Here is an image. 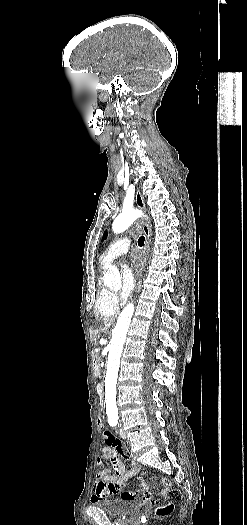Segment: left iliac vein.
Wrapping results in <instances>:
<instances>
[{
	"mask_svg": "<svg viewBox=\"0 0 247 525\" xmlns=\"http://www.w3.org/2000/svg\"><path fill=\"white\" fill-rule=\"evenodd\" d=\"M119 434H120V436H121L123 439L126 438L125 433H124V431H123L122 429L119 430Z\"/></svg>",
	"mask_w": 247,
	"mask_h": 525,
	"instance_id": "4c4485c4",
	"label": "left iliac vein"
}]
</instances>
